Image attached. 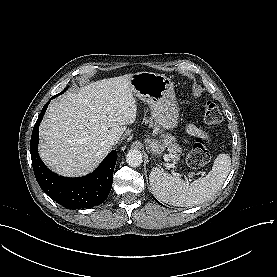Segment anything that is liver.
Instances as JSON below:
<instances>
[{
    "label": "liver",
    "mask_w": 277,
    "mask_h": 277,
    "mask_svg": "<svg viewBox=\"0 0 277 277\" xmlns=\"http://www.w3.org/2000/svg\"><path fill=\"white\" fill-rule=\"evenodd\" d=\"M132 75L92 82L49 105L40 124L39 154L51 170L82 176L107 156L111 146L106 138H120L136 119Z\"/></svg>",
    "instance_id": "obj_1"
}]
</instances>
